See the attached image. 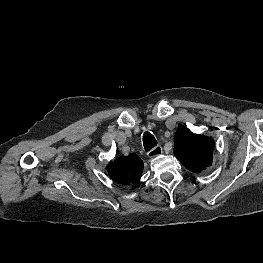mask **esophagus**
<instances>
[{"label": "esophagus", "instance_id": "1", "mask_svg": "<svg viewBox=\"0 0 263 263\" xmlns=\"http://www.w3.org/2000/svg\"><path fill=\"white\" fill-rule=\"evenodd\" d=\"M162 151H163L162 147L160 145H158V146L154 147L152 150H150L147 155L149 158H153V157L160 155L162 153Z\"/></svg>", "mask_w": 263, "mask_h": 263}]
</instances>
